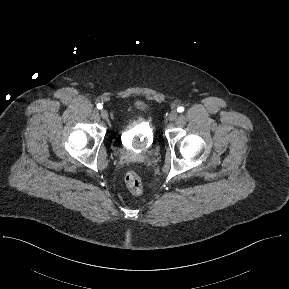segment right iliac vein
Listing matches in <instances>:
<instances>
[{
    "mask_svg": "<svg viewBox=\"0 0 289 289\" xmlns=\"http://www.w3.org/2000/svg\"><path fill=\"white\" fill-rule=\"evenodd\" d=\"M101 117H102L103 119H105V120H108V112H107V110L103 109V110L101 111Z\"/></svg>",
    "mask_w": 289,
    "mask_h": 289,
    "instance_id": "63e3f726",
    "label": "right iliac vein"
}]
</instances>
